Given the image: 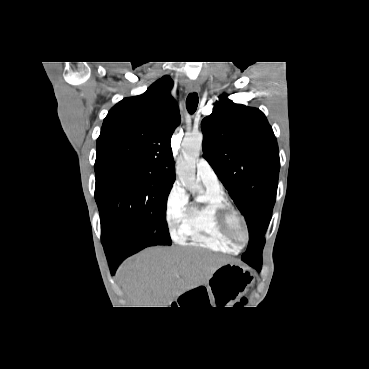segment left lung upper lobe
I'll return each instance as SVG.
<instances>
[{
	"label": "left lung upper lobe",
	"instance_id": "5c2ea615",
	"mask_svg": "<svg viewBox=\"0 0 369 369\" xmlns=\"http://www.w3.org/2000/svg\"><path fill=\"white\" fill-rule=\"evenodd\" d=\"M204 157L244 215L249 244L242 260L262 264L263 235L276 200L280 160L272 128L256 108L224 94L202 121Z\"/></svg>",
	"mask_w": 369,
	"mask_h": 369
}]
</instances>
